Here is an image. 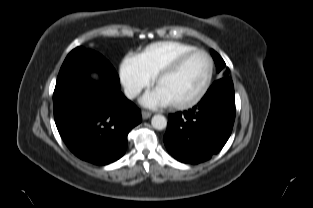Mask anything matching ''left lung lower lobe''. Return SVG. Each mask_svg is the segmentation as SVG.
Wrapping results in <instances>:
<instances>
[{"label":"left lung lower lobe","instance_id":"0a47b994","mask_svg":"<svg viewBox=\"0 0 313 208\" xmlns=\"http://www.w3.org/2000/svg\"><path fill=\"white\" fill-rule=\"evenodd\" d=\"M235 113L232 80L225 77L215 81L192 109L168 116L163 138L168 152L183 163L210 159L227 142Z\"/></svg>","mask_w":313,"mask_h":208}]
</instances>
